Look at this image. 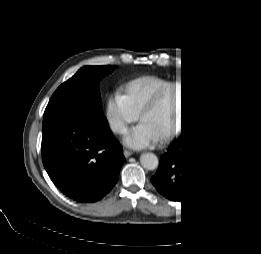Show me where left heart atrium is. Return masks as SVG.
Wrapping results in <instances>:
<instances>
[{
	"instance_id": "obj_1",
	"label": "left heart atrium",
	"mask_w": 261,
	"mask_h": 254,
	"mask_svg": "<svg viewBox=\"0 0 261 254\" xmlns=\"http://www.w3.org/2000/svg\"><path fill=\"white\" fill-rule=\"evenodd\" d=\"M154 142L155 136L143 123L129 130L124 136V143L133 148L148 147Z\"/></svg>"
}]
</instances>
